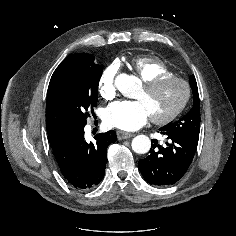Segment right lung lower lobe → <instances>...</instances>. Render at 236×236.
Segmentation results:
<instances>
[{"label":"right lung lower lobe","instance_id":"right-lung-lower-lobe-1","mask_svg":"<svg viewBox=\"0 0 236 236\" xmlns=\"http://www.w3.org/2000/svg\"><path fill=\"white\" fill-rule=\"evenodd\" d=\"M117 140L110 130L95 136V142L84 139V126L67 131L60 141L51 145L63 177L74 188L87 190L98 185L104 177L107 148Z\"/></svg>","mask_w":236,"mask_h":236}]
</instances>
